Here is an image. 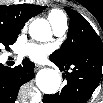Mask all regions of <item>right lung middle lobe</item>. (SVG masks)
<instances>
[{
	"label": "right lung middle lobe",
	"instance_id": "obj_1",
	"mask_svg": "<svg viewBox=\"0 0 103 103\" xmlns=\"http://www.w3.org/2000/svg\"><path fill=\"white\" fill-rule=\"evenodd\" d=\"M19 33V31H13L0 24V46L4 45L6 48H8L9 45L16 41Z\"/></svg>",
	"mask_w": 103,
	"mask_h": 103
}]
</instances>
